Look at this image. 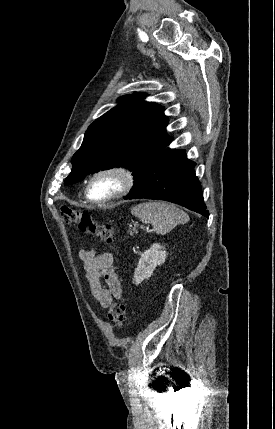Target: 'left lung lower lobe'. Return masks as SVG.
I'll return each mask as SVG.
<instances>
[{"label":"left lung lower lobe","mask_w":275,"mask_h":429,"mask_svg":"<svg viewBox=\"0 0 275 429\" xmlns=\"http://www.w3.org/2000/svg\"><path fill=\"white\" fill-rule=\"evenodd\" d=\"M170 142L150 161L124 199L165 200L208 218L201 183L194 172L196 163L187 159L184 150L167 148Z\"/></svg>","instance_id":"0a47b994"}]
</instances>
